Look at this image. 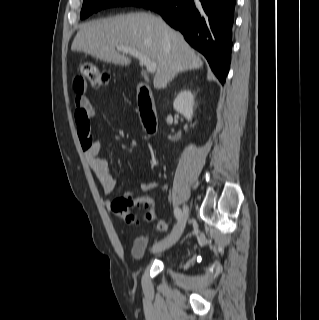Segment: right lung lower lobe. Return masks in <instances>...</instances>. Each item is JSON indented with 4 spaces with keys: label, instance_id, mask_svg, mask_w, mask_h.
Instances as JSON below:
<instances>
[{
    "label": "right lung lower lobe",
    "instance_id": "1",
    "mask_svg": "<svg viewBox=\"0 0 319 320\" xmlns=\"http://www.w3.org/2000/svg\"><path fill=\"white\" fill-rule=\"evenodd\" d=\"M236 0H152L141 6L158 12L200 51L223 84L229 71Z\"/></svg>",
    "mask_w": 319,
    "mask_h": 320
}]
</instances>
